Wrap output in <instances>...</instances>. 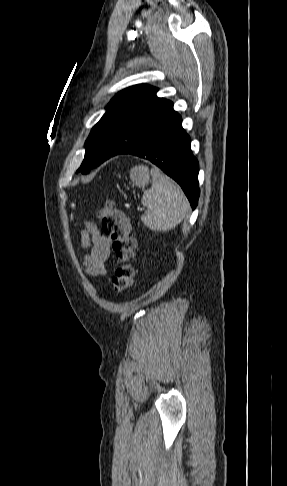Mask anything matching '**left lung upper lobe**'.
<instances>
[{"label": "left lung upper lobe", "instance_id": "1", "mask_svg": "<svg viewBox=\"0 0 287 486\" xmlns=\"http://www.w3.org/2000/svg\"><path fill=\"white\" fill-rule=\"evenodd\" d=\"M157 90L139 84L110 101L85 142V157L77 172L87 174L110 157L136 149L175 112L171 101L156 96Z\"/></svg>", "mask_w": 287, "mask_h": 486}]
</instances>
